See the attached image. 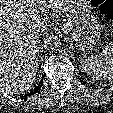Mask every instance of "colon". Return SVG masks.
Listing matches in <instances>:
<instances>
[{
    "label": "colon",
    "mask_w": 113,
    "mask_h": 113,
    "mask_svg": "<svg viewBox=\"0 0 113 113\" xmlns=\"http://www.w3.org/2000/svg\"><path fill=\"white\" fill-rule=\"evenodd\" d=\"M100 12L109 19H113V0H91Z\"/></svg>",
    "instance_id": "5ec220e1"
}]
</instances>
